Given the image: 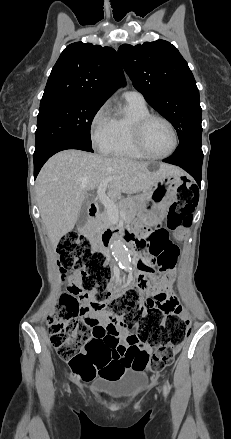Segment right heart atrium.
Masks as SVG:
<instances>
[{"instance_id": "d8ad5b80", "label": "right heart atrium", "mask_w": 231, "mask_h": 439, "mask_svg": "<svg viewBox=\"0 0 231 439\" xmlns=\"http://www.w3.org/2000/svg\"><path fill=\"white\" fill-rule=\"evenodd\" d=\"M111 117L108 106L103 104L93 114L90 122V138L95 147L101 148L110 138Z\"/></svg>"}]
</instances>
